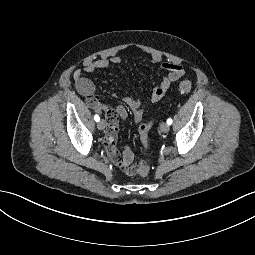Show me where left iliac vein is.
Wrapping results in <instances>:
<instances>
[{
  "label": "left iliac vein",
  "mask_w": 255,
  "mask_h": 255,
  "mask_svg": "<svg viewBox=\"0 0 255 255\" xmlns=\"http://www.w3.org/2000/svg\"><path fill=\"white\" fill-rule=\"evenodd\" d=\"M160 130L163 132V133H167L169 130H170V126L167 124V123H162L160 125Z\"/></svg>",
  "instance_id": "obj_1"
}]
</instances>
